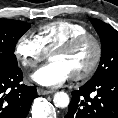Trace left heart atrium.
<instances>
[{
    "label": "left heart atrium",
    "mask_w": 118,
    "mask_h": 118,
    "mask_svg": "<svg viewBox=\"0 0 118 118\" xmlns=\"http://www.w3.org/2000/svg\"><path fill=\"white\" fill-rule=\"evenodd\" d=\"M70 74L68 70L58 62H52L33 73L32 79L46 87H57L63 84Z\"/></svg>",
    "instance_id": "obj_1"
}]
</instances>
